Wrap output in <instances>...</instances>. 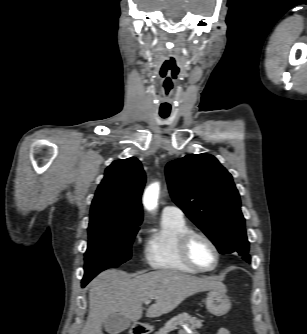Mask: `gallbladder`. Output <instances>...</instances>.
<instances>
[{"label":"gallbladder","instance_id":"bac80fb5","mask_svg":"<svg viewBox=\"0 0 307 334\" xmlns=\"http://www.w3.org/2000/svg\"><path fill=\"white\" fill-rule=\"evenodd\" d=\"M130 325V320L119 313L111 314L103 323L105 331L109 334H120Z\"/></svg>","mask_w":307,"mask_h":334}]
</instances>
